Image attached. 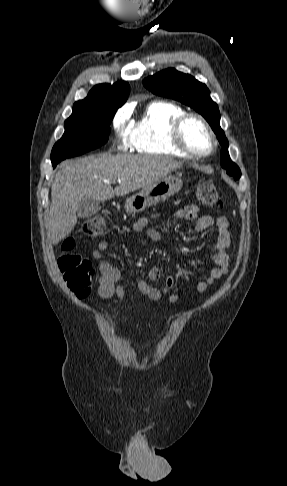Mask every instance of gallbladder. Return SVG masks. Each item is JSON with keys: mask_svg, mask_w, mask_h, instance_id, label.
<instances>
[{"mask_svg": "<svg viewBox=\"0 0 287 486\" xmlns=\"http://www.w3.org/2000/svg\"><path fill=\"white\" fill-rule=\"evenodd\" d=\"M100 209L101 206L99 201L85 196L78 203L77 216L81 219L90 218L96 215Z\"/></svg>", "mask_w": 287, "mask_h": 486, "instance_id": "1", "label": "gallbladder"}]
</instances>
